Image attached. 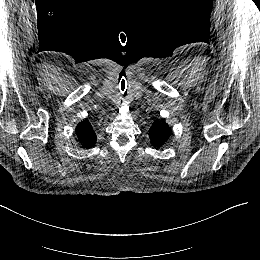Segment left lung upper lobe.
Segmentation results:
<instances>
[{
	"mask_svg": "<svg viewBox=\"0 0 260 260\" xmlns=\"http://www.w3.org/2000/svg\"><path fill=\"white\" fill-rule=\"evenodd\" d=\"M171 132V127L165 122V120H156L149 130V138L152 145L156 148L163 146L170 137Z\"/></svg>",
	"mask_w": 260,
	"mask_h": 260,
	"instance_id": "1",
	"label": "left lung upper lobe"
}]
</instances>
